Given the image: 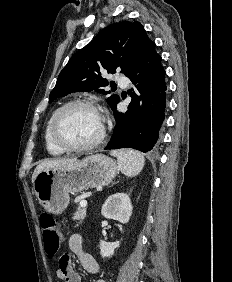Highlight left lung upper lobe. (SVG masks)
Listing matches in <instances>:
<instances>
[{
  "instance_id": "obj_1",
  "label": "left lung upper lobe",
  "mask_w": 232,
  "mask_h": 282,
  "mask_svg": "<svg viewBox=\"0 0 232 282\" xmlns=\"http://www.w3.org/2000/svg\"><path fill=\"white\" fill-rule=\"evenodd\" d=\"M151 41L139 22L114 23L103 29L88 45L79 50L62 69L49 102L73 92L97 91L108 81L102 72L116 73L121 68L125 76L138 64ZM119 101L116 94L107 98L112 108Z\"/></svg>"
}]
</instances>
